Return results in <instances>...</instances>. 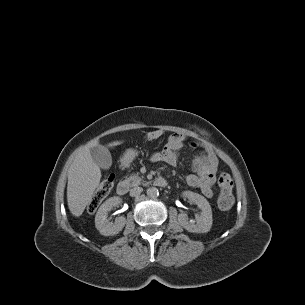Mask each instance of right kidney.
<instances>
[{"label": "right kidney", "instance_id": "obj_1", "mask_svg": "<svg viewBox=\"0 0 305 305\" xmlns=\"http://www.w3.org/2000/svg\"><path fill=\"white\" fill-rule=\"evenodd\" d=\"M122 202L120 197H111L107 199L98 209L95 216V226L100 234L104 236H112L118 234L124 228L126 219L123 216L117 217L115 222L107 219L108 212Z\"/></svg>", "mask_w": 305, "mask_h": 305}]
</instances>
